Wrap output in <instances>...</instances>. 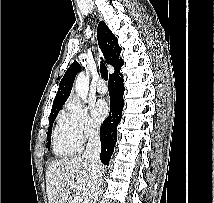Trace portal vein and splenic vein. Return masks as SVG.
Masks as SVG:
<instances>
[{
	"mask_svg": "<svg viewBox=\"0 0 214 203\" xmlns=\"http://www.w3.org/2000/svg\"><path fill=\"white\" fill-rule=\"evenodd\" d=\"M66 185L70 186L71 188H76V183L74 181H68ZM81 201V196H75L70 203H81Z\"/></svg>",
	"mask_w": 214,
	"mask_h": 203,
	"instance_id": "obj_1",
	"label": "portal vein and splenic vein"
}]
</instances>
